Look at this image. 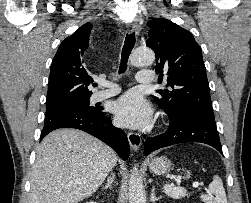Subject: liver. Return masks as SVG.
I'll use <instances>...</instances> for the list:
<instances>
[{"mask_svg":"<svg viewBox=\"0 0 251 203\" xmlns=\"http://www.w3.org/2000/svg\"><path fill=\"white\" fill-rule=\"evenodd\" d=\"M116 162L115 152L93 136L55 130L37 147L29 203H78L96 192Z\"/></svg>","mask_w":251,"mask_h":203,"instance_id":"1","label":"liver"}]
</instances>
